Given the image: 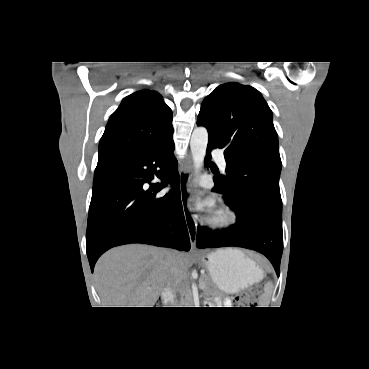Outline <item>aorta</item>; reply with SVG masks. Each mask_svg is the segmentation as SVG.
Returning a JSON list of instances; mask_svg holds the SVG:
<instances>
[{"instance_id":"762f6f07","label":"aorta","mask_w":369,"mask_h":369,"mask_svg":"<svg viewBox=\"0 0 369 369\" xmlns=\"http://www.w3.org/2000/svg\"><path fill=\"white\" fill-rule=\"evenodd\" d=\"M208 131L205 127H196L192 133L190 147L195 172L198 173L206 155Z\"/></svg>"}]
</instances>
